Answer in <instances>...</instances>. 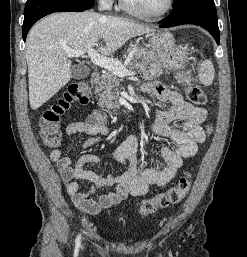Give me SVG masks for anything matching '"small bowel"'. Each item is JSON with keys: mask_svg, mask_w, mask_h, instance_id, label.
Segmentation results:
<instances>
[{"mask_svg": "<svg viewBox=\"0 0 247 257\" xmlns=\"http://www.w3.org/2000/svg\"><path fill=\"white\" fill-rule=\"evenodd\" d=\"M142 90L153 93L160 103L169 104L168 107L155 111L153 121L149 125L152 134L169 138L176 145L175 148H161V157L165 163L161 169L148 168L138 171L135 154L140 140L136 134L130 135L113 152L115 161L123 169L118 176L85 169L86 164L100 166L99 158L93 154L81 155L74 165L73 158L62 155L59 149L52 150L49 154L65 184L66 192L74 204L85 213L98 214L102 209L119 204L129 195L143 196L153 187L166 185L177 176L183 160L195 155L198 146L205 141L206 135L201 127L207 116L205 109L185 101L180 93L170 91L158 82L145 84ZM178 121L183 122L181 126L176 125ZM65 132L69 136L88 135L81 143V148L87 149L93 146L101 135L108 133L106 115L100 110H94L85 121H71ZM77 180L91 182V190L81 191ZM110 186H115V189L97 199L90 198L96 188Z\"/></svg>", "mask_w": 247, "mask_h": 257, "instance_id": "obj_1", "label": "small bowel"}]
</instances>
